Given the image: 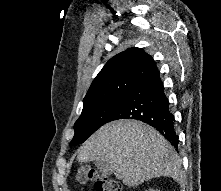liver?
Returning a JSON list of instances; mask_svg holds the SVG:
<instances>
[{
    "instance_id": "liver-1",
    "label": "liver",
    "mask_w": 221,
    "mask_h": 191,
    "mask_svg": "<svg viewBox=\"0 0 221 191\" xmlns=\"http://www.w3.org/2000/svg\"><path fill=\"white\" fill-rule=\"evenodd\" d=\"M81 163H110L117 179L131 187L156 177L181 182V160L169 142L154 128L136 120H117L103 125L80 148Z\"/></svg>"
}]
</instances>
